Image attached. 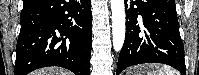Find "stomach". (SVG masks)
<instances>
[{"label": "stomach", "mask_w": 199, "mask_h": 75, "mask_svg": "<svg viewBox=\"0 0 199 75\" xmlns=\"http://www.w3.org/2000/svg\"><path fill=\"white\" fill-rule=\"evenodd\" d=\"M150 66H138L127 71V75H144Z\"/></svg>", "instance_id": "1"}]
</instances>
